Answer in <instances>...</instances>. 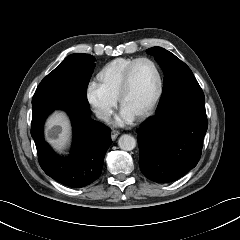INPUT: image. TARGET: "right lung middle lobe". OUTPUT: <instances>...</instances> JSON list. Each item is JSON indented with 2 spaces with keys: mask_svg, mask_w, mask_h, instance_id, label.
I'll return each mask as SVG.
<instances>
[{
  "mask_svg": "<svg viewBox=\"0 0 240 240\" xmlns=\"http://www.w3.org/2000/svg\"><path fill=\"white\" fill-rule=\"evenodd\" d=\"M89 54H72L49 73L37 87L32 105L44 101L73 103L89 107L86 89L95 66Z\"/></svg>",
  "mask_w": 240,
  "mask_h": 240,
  "instance_id": "right-lung-middle-lobe-1",
  "label": "right lung middle lobe"
}]
</instances>
